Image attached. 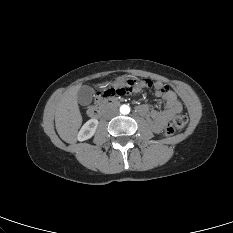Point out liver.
<instances>
[{"instance_id": "obj_1", "label": "liver", "mask_w": 233, "mask_h": 233, "mask_svg": "<svg viewBox=\"0 0 233 233\" xmlns=\"http://www.w3.org/2000/svg\"><path fill=\"white\" fill-rule=\"evenodd\" d=\"M80 86L68 89L60 98L55 112V126L60 138L67 143L75 140L82 124V116L78 106L77 93Z\"/></svg>"}]
</instances>
